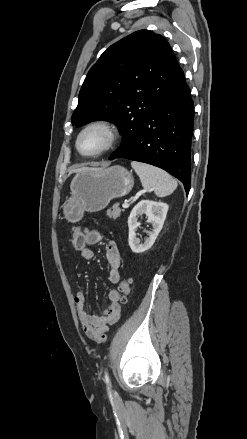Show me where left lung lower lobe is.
Instances as JSON below:
<instances>
[{"label":"left lung lower lobe","instance_id":"obj_1","mask_svg":"<svg viewBox=\"0 0 247 439\" xmlns=\"http://www.w3.org/2000/svg\"><path fill=\"white\" fill-rule=\"evenodd\" d=\"M183 75L162 93L152 113L141 123L124 147L109 157L125 158L162 168L190 191V152L193 132V102Z\"/></svg>","mask_w":247,"mask_h":439}]
</instances>
